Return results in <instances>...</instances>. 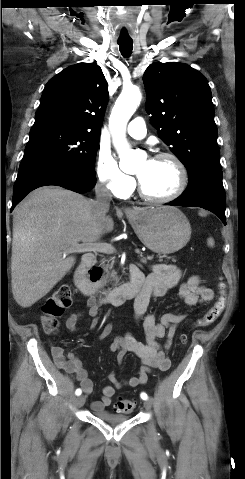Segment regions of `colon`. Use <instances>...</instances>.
<instances>
[{"mask_svg":"<svg viewBox=\"0 0 245 479\" xmlns=\"http://www.w3.org/2000/svg\"><path fill=\"white\" fill-rule=\"evenodd\" d=\"M227 294L221 289L215 303L208 311L193 323L194 327L203 328L212 325L224 311ZM72 304V294L68 285H61L43 304L41 317L42 328L45 333L53 334L58 330L59 318ZM186 334L181 335V341L185 342ZM135 402L128 399H120L116 403V410L120 413H130L135 409Z\"/></svg>","mask_w":245,"mask_h":479,"instance_id":"obj_1","label":"colon"}]
</instances>
